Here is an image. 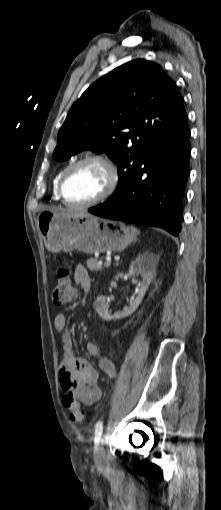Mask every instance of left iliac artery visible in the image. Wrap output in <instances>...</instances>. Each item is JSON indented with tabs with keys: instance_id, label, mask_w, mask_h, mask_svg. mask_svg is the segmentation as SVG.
<instances>
[{
	"instance_id": "44dca946",
	"label": "left iliac artery",
	"mask_w": 221,
	"mask_h": 510,
	"mask_svg": "<svg viewBox=\"0 0 221 510\" xmlns=\"http://www.w3.org/2000/svg\"><path fill=\"white\" fill-rule=\"evenodd\" d=\"M102 432H103V422L98 421L95 425V443H98L100 441Z\"/></svg>"
}]
</instances>
